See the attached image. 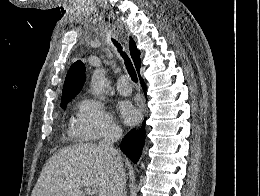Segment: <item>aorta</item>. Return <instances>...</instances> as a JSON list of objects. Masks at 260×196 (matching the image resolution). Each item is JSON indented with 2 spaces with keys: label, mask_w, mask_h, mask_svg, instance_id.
<instances>
[{
  "label": "aorta",
  "mask_w": 260,
  "mask_h": 196,
  "mask_svg": "<svg viewBox=\"0 0 260 196\" xmlns=\"http://www.w3.org/2000/svg\"><path fill=\"white\" fill-rule=\"evenodd\" d=\"M107 87L108 83L105 77V71L103 69H96L91 77V90L93 94L102 98Z\"/></svg>",
  "instance_id": "obj_1"
}]
</instances>
